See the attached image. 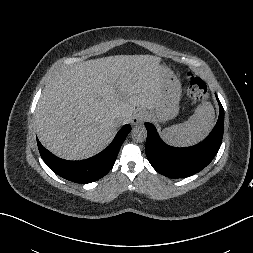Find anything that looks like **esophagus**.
I'll list each match as a JSON object with an SVG mask.
<instances>
[{
	"instance_id": "obj_1",
	"label": "esophagus",
	"mask_w": 253,
	"mask_h": 253,
	"mask_svg": "<svg viewBox=\"0 0 253 253\" xmlns=\"http://www.w3.org/2000/svg\"><path fill=\"white\" fill-rule=\"evenodd\" d=\"M146 119V115L143 111H137L133 118H132V123L134 125H137L139 123H142Z\"/></svg>"
}]
</instances>
